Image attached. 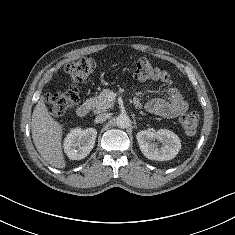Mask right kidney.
I'll use <instances>...</instances> for the list:
<instances>
[{
  "label": "right kidney",
  "instance_id": "ca27d5eb",
  "mask_svg": "<svg viewBox=\"0 0 235 235\" xmlns=\"http://www.w3.org/2000/svg\"><path fill=\"white\" fill-rule=\"evenodd\" d=\"M97 131L94 128H75L67 134L64 140V152L71 160L85 158L93 149Z\"/></svg>",
  "mask_w": 235,
  "mask_h": 235
}]
</instances>
